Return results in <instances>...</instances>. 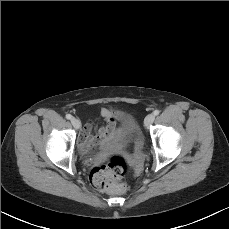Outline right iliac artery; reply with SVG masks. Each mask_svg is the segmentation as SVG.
<instances>
[{"instance_id":"82829eb1","label":"right iliac artery","mask_w":229,"mask_h":229,"mask_svg":"<svg viewBox=\"0 0 229 229\" xmlns=\"http://www.w3.org/2000/svg\"><path fill=\"white\" fill-rule=\"evenodd\" d=\"M66 118L70 120L72 118V116L70 114H67Z\"/></svg>"}]
</instances>
